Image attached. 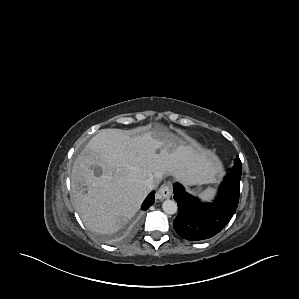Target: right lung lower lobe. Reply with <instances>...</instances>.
<instances>
[{"label": "right lung lower lobe", "mask_w": 299, "mask_h": 299, "mask_svg": "<svg viewBox=\"0 0 299 299\" xmlns=\"http://www.w3.org/2000/svg\"><path fill=\"white\" fill-rule=\"evenodd\" d=\"M155 191H152L144 200L142 210H147L154 203Z\"/></svg>", "instance_id": "obj_1"}]
</instances>
